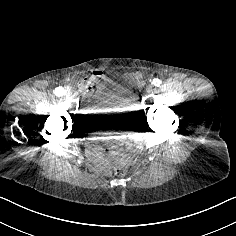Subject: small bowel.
<instances>
[{"label": "small bowel", "mask_w": 236, "mask_h": 236, "mask_svg": "<svg viewBox=\"0 0 236 236\" xmlns=\"http://www.w3.org/2000/svg\"><path fill=\"white\" fill-rule=\"evenodd\" d=\"M107 81L105 75L101 71H94L90 76L82 79L79 82L80 91L89 98L93 97V87L100 85L104 89V83ZM96 105L90 104L85 111L88 114L96 112ZM102 141H117L118 145H111L109 154H104L101 146ZM90 157L103 168H108L110 164L116 160L130 162L132 161L141 148V138L137 130L128 129L118 131L109 136L93 137L87 144Z\"/></svg>", "instance_id": "small-bowel-1"}]
</instances>
